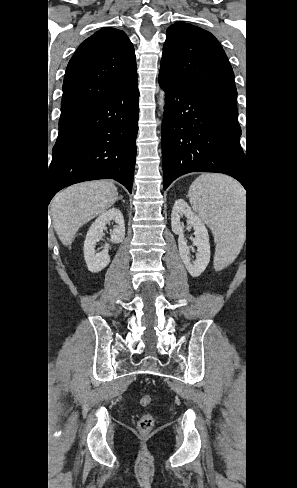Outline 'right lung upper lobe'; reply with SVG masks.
<instances>
[{"mask_svg":"<svg viewBox=\"0 0 297 488\" xmlns=\"http://www.w3.org/2000/svg\"><path fill=\"white\" fill-rule=\"evenodd\" d=\"M137 76L134 48L126 34L106 27L80 44L68 63L60 120L108 96Z\"/></svg>","mask_w":297,"mask_h":488,"instance_id":"cb5924a9","label":"right lung upper lobe"}]
</instances>
